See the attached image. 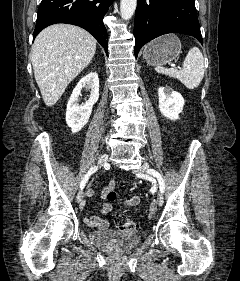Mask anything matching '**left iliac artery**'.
I'll return each mask as SVG.
<instances>
[{
  "mask_svg": "<svg viewBox=\"0 0 240 281\" xmlns=\"http://www.w3.org/2000/svg\"><path fill=\"white\" fill-rule=\"evenodd\" d=\"M147 173H149V174H151V175H153L154 177L157 178V180H158V182H159V186H160V191H161L162 193H164V191H165V183H164V179H163V177L161 176V174H159L158 171L153 170V169H149V170L147 171Z\"/></svg>",
  "mask_w": 240,
  "mask_h": 281,
  "instance_id": "1",
  "label": "left iliac artery"
}]
</instances>
